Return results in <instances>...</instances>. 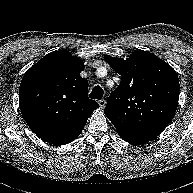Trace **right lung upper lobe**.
I'll return each instance as SVG.
<instances>
[{"label":"right lung upper lobe","mask_w":193,"mask_h":193,"mask_svg":"<svg viewBox=\"0 0 193 193\" xmlns=\"http://www.w3.org/2000/svg\"><path fill=\"white\" fill-rule=\"evenodd\" d=\"M84 63L66 49L34 64L19 87L21 113L42 140L63 145L76 139L99 104L88 99V81L80 76Z\"/></svg>","instance_id":"1"}]
</instances>
